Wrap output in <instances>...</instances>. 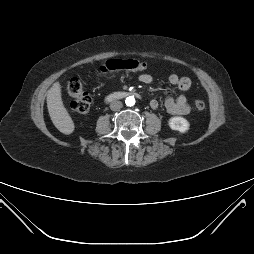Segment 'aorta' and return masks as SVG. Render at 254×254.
<instances>
[{"mask_svg":"<svg viewBox=\"0 0 254 254\" xmlns=\"http://www.w3.org/2000/svg\"><path fill=\"white\" fill-rule=\"evenodd\" d=\"M125 103L127 106H133L135 104V98L132 96H129L125 99Z\"/></svg>","mask_w":254,"mask_h":254,"instance_id":"1","label":"aorta"}]
</instances>
